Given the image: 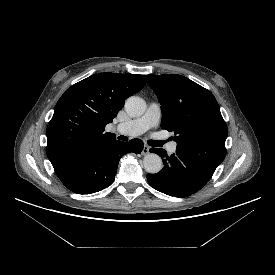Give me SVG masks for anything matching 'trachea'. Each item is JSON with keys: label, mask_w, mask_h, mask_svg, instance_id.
Listing matches in <instances>:
<instances>
[{"label": "trachea", "mask_w": 275, "mask_h": 275, "mask_svg": "<svg viewBox=\"0 0 275 275\" xmlns=\"http://www.w3.org/2000/svg\"><path fill=\"white\" fill-rule=\"evenodd\" d=\"M125 138L126 137H124V136H119L118 139L125 140ZM165 142H167V141H153L152 143H153V146H155V147H161Z\"/></svg>", "instance_id": "1"}]
</instances>
